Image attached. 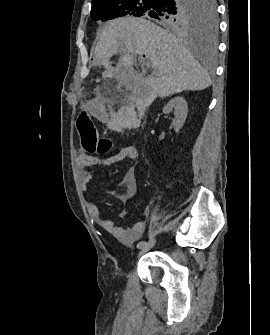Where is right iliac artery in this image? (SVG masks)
I'll return each instance as SVG.
<instances>
[{"mask_svg":"<svg viewBox=\"0 0 270 335\" xmlns=\"http://www.w3.org/2000/svg\"><path fill=\"white\" fill-rule=\"evenodd\" d=\"M146 244H147L146 241H141V242H139V243L137 244V247H138V248H142V247H144Z\"/></svg>","mask_w":270,"mask_h":335,"instance_id":"82829eb1","label":"right iliac artery"}]
</instances>
